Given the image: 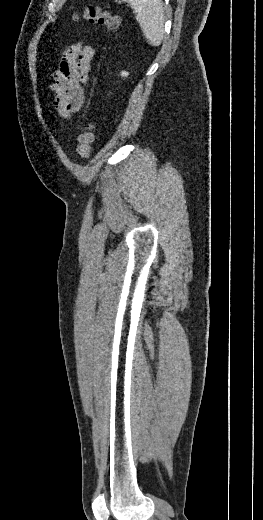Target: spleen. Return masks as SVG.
Returning <instances> with one entry per match:
<instances>
[{"instance_id":"spleen-1","label":"spleen","mask_w":263,"mask_h":520,"mask_svg":"<svg viewBox=\"0 0 263 520\" xmlns=\"http://www.w3.org/2000/svg\"><path fill=\"white\" fill-rule=\"evenodd\" d=\"M136 14L143 35L152 46H159L164 37V8L161 0H123Z\"/></svg>"}]
</instances>
